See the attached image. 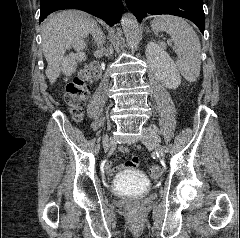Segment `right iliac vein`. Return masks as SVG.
<instances>
[{
  "mask_svg": "<svg viewBox=\"0 0 240 238\" xmlns=\"http://www.w3.org/2000/svg\"><path fill=\"white\" fill-rule=\"evenodd\" d=\"M103 146H104V148H108V147H109V138H108V137H106V138L104 139V141H103Z\"/></svg>",
  "mask_w": 240,
  "mask_h": 238,
  "instance_id": "right-iliac-vein-1",
  "label": "right iliac vein"
}]
</instances>
